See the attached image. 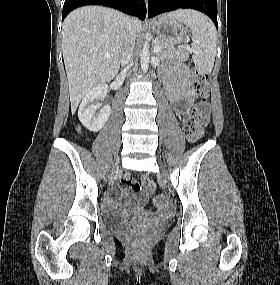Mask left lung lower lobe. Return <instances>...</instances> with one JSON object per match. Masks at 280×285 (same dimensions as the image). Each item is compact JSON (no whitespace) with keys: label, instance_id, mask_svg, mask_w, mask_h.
I'll use <instances>...</instances> for the list:
<instances>
[{"label":"left lung lower lobe","instance_id":"1","mask_svg":"<svg viewBox=\"0 0 280 285\" xmlns=\"http://www.w3.org/2000/svg\"><path fill=\"white\" fill-rule=\"evenodd\" d=\"M181 8H190L208 15L218 29L217 0H148V17Z\"/></svg>","mask_w":280,"mask_h":285}]
</instances>
